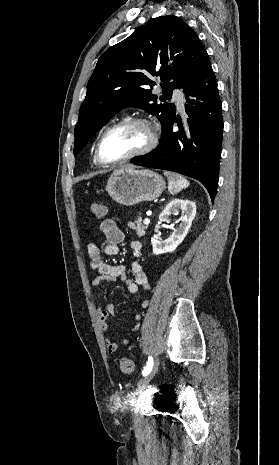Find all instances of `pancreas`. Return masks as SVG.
Segmentation results:
<instances>
[{"label": "pancreas", "instance_id": "1", "mask_svg": "<svg viewBox=\"0 0 279 465\" xmlns=\"http://www.w3.org/2000/svg\"><path fill=\"white\" fill-rule=\"evenodd\" d=\"M128 227L130 229L134 230L139 237L144 236L145 235V230L148 228L147 225H144L142 223L141 218H138V220H136L134 222H129Z\"/></svg>", "mask_w": 279, "mask_h": 465}]
</instances>
